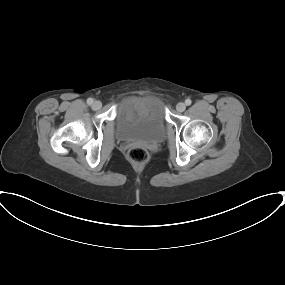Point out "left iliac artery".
<instances>
[{"mask_svg":"<svg viewBox=\"0 0 285 285\" xmlns=\"http://www.w3.org/2000/svg\"><path fill=\"white\" fill-rule=\"evenodd\" d=\"M191 103H192V101H191L190 99H186V100H185V104H186L187 106L191 105Z\"/></svg>","mask_w":285,"mask_h":285,"instance_id":"left-iliac-artery-1","label":"left iliac artery"}]
</instances>
